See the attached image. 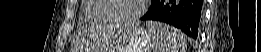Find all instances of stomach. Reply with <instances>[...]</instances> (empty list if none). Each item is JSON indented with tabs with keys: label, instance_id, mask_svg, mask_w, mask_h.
Instances as JSON below:
<instances>
[{
	"label": "stomach",
	"instance_id": "stomach-1",
	"mask_svg": "<svg viewBox=\"0 0 261 52\" xmlns=\"http://www.w3.org/2000/svg\"><path fill=\"white\" fill-rule=\"evenodd\" d=\"M120 31L115 47L116 52H150L153 47V38L147 30L138 29L128 32L126 29L113 28Z\"/></svg>",
	"mask_w": 261,
	"mask_h": 52
}]
</instances>
